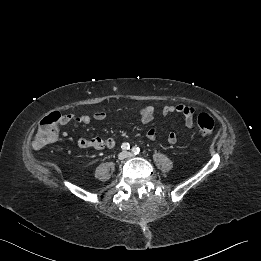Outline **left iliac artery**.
I'll return each instance as SVG.
<instances>
[{"instance_id":"obj_1","label":"left iliac artery","mask_w":261,"mask_h":261,"mask_svg":"<svg viewBox=\"0 0 261 261\" xmlns=\"http://www.w3.org/2000/svg\"><path fill=\"white\" fill-rule=\"evenodd\" d=\"M132 152H133L134 154H139L140 148L135 146V147L132 148Z\"/></svg>"}]
</instances>
